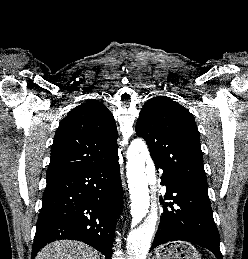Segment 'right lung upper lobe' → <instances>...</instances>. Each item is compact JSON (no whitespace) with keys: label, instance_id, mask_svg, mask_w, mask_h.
I'll return each mask as SVG.
<instances>
[{"label":"right lung upper lobe","instance_id":"right-lung-upper-lobe-1","mask_svg":"<svg viewBox=\"0 0 248 259\" xmlns=\"http://www.w3.org/2000/svg\"><path fill=\"white\" fill-rule=\"evenodd\" d=\"M117 137L114 117L103 103L75 107L56 131L47 177L108 161L117 155Z\"/></svg>","mask_w":248,"mask_h":259}]
</instances>
